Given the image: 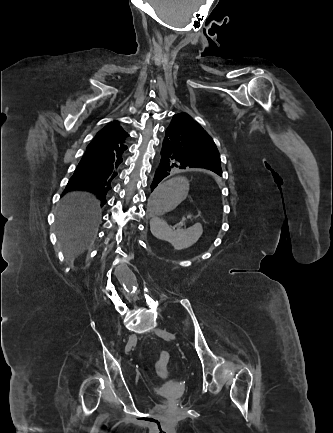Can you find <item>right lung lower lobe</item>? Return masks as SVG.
<instances>
[{
    "instance_id": "right-lung-lower-lobe-1",
    "label": "right lung lower lobe",
    "mask_w": 333,
    "mask_h": 433,
    "mask_svg": "<svg viewBox=\"0 0 333 433\" xmlns=\"http://www.w3.org/2000/svg\"><path fill=\"white\" fill-rule=\"evenodd\" d=\"M126 149V145L101 147L93 139L87 146L86 152L70 178L64 193L73 190L94 192L101 199V206H103L106 203V194L118 175Z\"/></svg>"
}]
</instances>
